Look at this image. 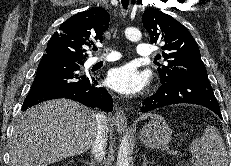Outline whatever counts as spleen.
Segmentation results:
<instances>
[{
	"label": "spleen",
	"mask_w": 231,
	"mask_h": 166,
	"mask_svg": "<svg viewBox=\"0 0 231 166\" xmlns=\"http://www.w3.org/2000/svg\"><path fill=\"white\" fill-rule=\"evenodd\" d=\"M190 151L196 166H228L222 136L212 125H207L202 137L191 142Z\"/></svg>",
	"instance_id": "spleen-1"
}]
</instances>
